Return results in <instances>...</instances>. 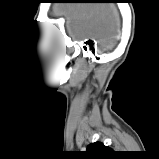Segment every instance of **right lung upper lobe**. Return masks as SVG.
<instances>
[{
    "instance_id": "obj_1",
    "label": "right lung upper lobe",
    "mask_w": 159,
    "mask_h": 159,
    "mask_svg": "<svg viewBox=\"0 0 159 159\" xmlns=\"http://www.w3.org/2000/svg\"><path fill=\"white\" fill-rule=\"evenodd\" d=\"M86 152L90 159H101L105 153L112 152V150L109 147L104 146L101 142H95L88 145Z\"/></svg>"
}]
</instances>
